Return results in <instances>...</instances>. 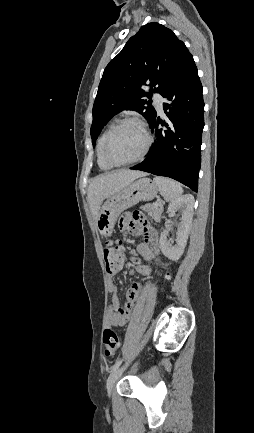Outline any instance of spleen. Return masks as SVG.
<instances>
[{
	"label": "spleen",
	"instance_id": "obj_1",
	"mask_svg": "<svg viewBox=\"0 0 254 433\" xmlns=\"http://www.w3.org/2000/svg\"><path fill=\"white\" fill-rule=\"evenodd\" d=\"M154 183L158 186L160 194L166 201H173L183 193L181 185L172 179L156 176Z\"/></svg>",
	"mask_w": 254,
	"mask_h": 433
}]
</instances>
